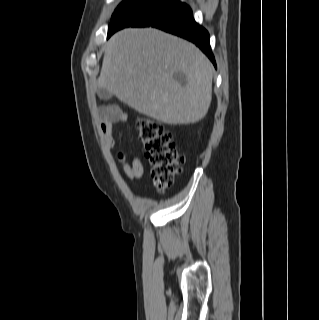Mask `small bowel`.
Wrapping results in <instances>:
<instances>
[{"mask_svg": "<svg viewBox=\"0 0 319 320\" xmlns=\"http://www.w3.org/2000/svg\"><path fill=\"white\" fill-rule=\"evenodd\" d=\"M126 114L118 109H106L100 113L99 131L102 142L107 149H113L116 145L114 138V124L126 121ZM122 163V172L128 180H138L142 177L144 168L138 155L128 158L124 151L117 154Z\"/></svg>", "mask_w": 319, "mask_h": 320, "instance_id": "small-bowel-1", "label": "small bowel"}]
</instances>
